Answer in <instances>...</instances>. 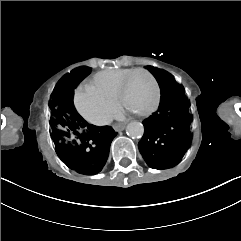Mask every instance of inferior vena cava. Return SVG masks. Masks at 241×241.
<instances>
[{
	"mask_svg": "<svg viewBox=\"0 0 241 241\" xmlns=\"http://www.w3.org/2000/svg\"><path fill=\"white\" fill-rule=\"evenodd\" d=\"M112 122V118L110 116L105 117L102 119V122L97 121L94 124L97 126L109 125Z\"/></svg>",
	"mask_w": 241,
	"mask_h": 241,
	"instance_id": "obj_1",
	"label": "inferior vena cava"
}]
</instances>
